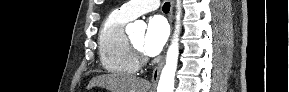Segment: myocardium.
Wrapping results in <instances>:
<instances>
[{
    "label": "myocardium",
    "instance_id": "myocardium-1",
    "mask_svg": "<svg viewBox=\"0 0 289 92\" xmlns=\"http://www.w3.org/2000/svg\"><path fill=\"white\" fill-rule=\"evenodd\" d=\"M128 44L130 47V50L134 56V58L136 59V61L138 62V64H143L146 62V58L142 52L141 49H139L130 38H128Z\"/></svg>",
    "mask_w": 289,
    "mask_h": 92
}]
</instances>
